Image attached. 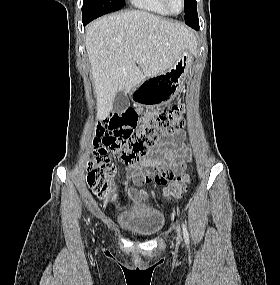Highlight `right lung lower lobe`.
I'll list each match as a JSON object with an SVG mask.
<instances>
[{"label":"right lung lower lobe","mask_w":280,"mask_h":285,"mask_svg":"<svg viewBox=\"0 0 280 285\" xmlns=\"http://www.w3.org/2000/svg\"><path fill=\"white\" fill-rule=\"evenodd\" d=\"M82 22H83V25H86V24H88V23H89V21H87V20H83V19H82Z\"/></svg>","instance_id":"obj_1"}]
</instances>
